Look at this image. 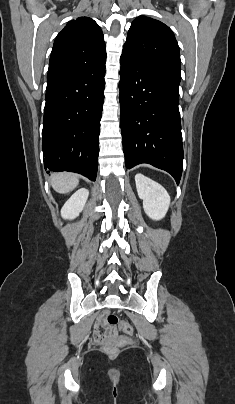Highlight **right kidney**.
<instances>
[{
	"instance_id": "obj_1",
	"label": "right kidney",
	"mask_w": 235,
	"mask_h": 404,
	"mask_svg": "<svg viewBox=\"0 0 235 404\" xmlns=\"http://www.w3.org/2000/svg\"><path fill=\"white\" fill-rule=\"evenodd\" d=\"M89 191L81 188L76 191L64 204L61 209V216L64 219H74L83 210L87 201Z\"/></svg>"
}]
</instances>
